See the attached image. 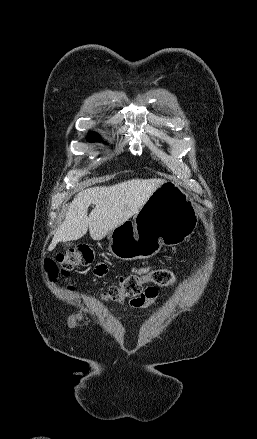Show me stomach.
Returning <instances> with one entry per match:
<instances>
[{"mask_svg":"<svg viewBox=\"0 0 257 439\" xmlns=\"http://www.w3.org/2000/svg\"><path fill=\"white\" fill-rule=\"evenodd\" d=\"M198 224L192 195L176 182L162 183L134 215L107 234L109 251L122 260L150 258L162 245L189 238Z\"/></svg>","mask_w":257,"mask_h":439,"instance_id":"1","label":"stomach"}]
</instances>
